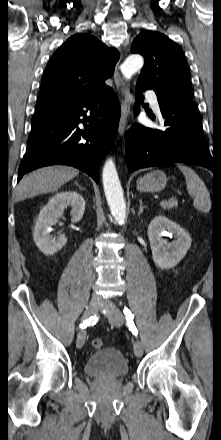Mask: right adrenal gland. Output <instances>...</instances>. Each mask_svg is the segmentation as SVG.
Returning a JSON list of instances; mask_svg holds the SVG:
<instances>
[{"label": "right adrenal gland", "mask_w": 221, "mask_h": 440, "mask_svg": "<svg viewBox=\"0 0 221 440\" xmlns=\"http://www.w3.org/2000/svg\"><path fill=\"white\" fill-rule=\"evenodd\" d=\"M75 185H76L79 189H81V186H80L77 182H75Z\"/></svg>", "instance_id": "right-adrenal-gland-1"}]
</instances>
